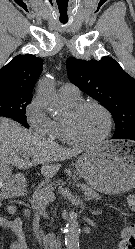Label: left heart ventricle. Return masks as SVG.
I'll use <instances>...</instances> for the list:
<instances>
[{
  "mask_svg": "<svg viewBox=\"0 0 135 249\" xmlns=\"http://www.w3.org/2000/svg\"><path fill=\"white\" fill-rule=\"evenodd\" d=\"M65 120H70L75 133L86 140L102 136L107 128L105 115L101 110L92 106L83 109L73 118L68 114Z\"/></svg>",
  "mask_w": 135,
  "mask_h": 249,
  "instance_id": "left-heart-ventricle-1",
  "label": "left heart ventricle"
}]
</instances>
